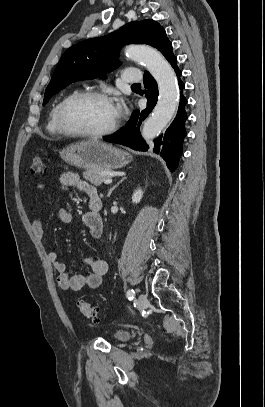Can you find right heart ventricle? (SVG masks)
<instances>
[{
    "mask_svg": "<svg viewBox=\"0 0 265 407\" xmlns=\"http://www.w3.org/2000/svg\"><path fill=\"white\" fill-rule=\"evenodd\" d=\"M62 99L59 100L51 109L48 122L46 125L47 131L53 135L63 136L64 133L60 130L57 122V112Z\"/></svg>",
    "mask_w": 265,
    "mask_h": 407,
    "instance_id": "e07e8e85",
    "label": "right heart ventricle"
}]
</instances>
